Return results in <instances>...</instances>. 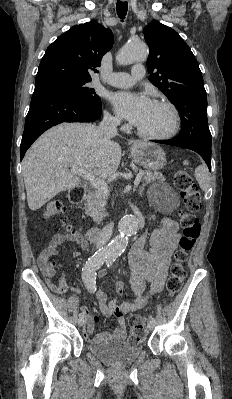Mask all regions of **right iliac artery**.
Returning a JSON list of instances; mask_svg holds the SVG:
<instances>
[{
  "instance_id": "obj_1",
  "label": "right iliac artery",
  "mask_w": 232,
  "mask_h": 399,
  "mask_svg": "<svg viewBox=\"0 0 232 399\" xmlns=\"http://www.w3.org/2000/svg\"><path fill=\"white\" fill-rule=\"evenodd\" d=\"M105 259V255H92L82 267V280L90 293L94 294L97 291L96 271L103 265ZM79 317L83 318V314Z\"/></svg>"
}]
</instances>
